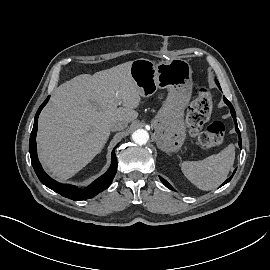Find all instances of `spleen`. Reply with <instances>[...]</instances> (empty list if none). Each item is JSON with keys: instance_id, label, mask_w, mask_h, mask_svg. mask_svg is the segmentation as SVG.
I'll use <instances>...</instances> for the list:
<instances>
[{"instance_id": "obj_1", "label": "spleen", "mask_w": 270, "mask_h": 270, "mask_svg": "<svg viewBox=\"0 0 270 270\" xmlns=\"http://www.w3.org/2000/svg\"><path fill=\"white\" fill-rule=\"evenodd\" d=\"M235 160V147L228 145L217 154L201 161H184L181 170L186 178L201 190H212L221 185Z\"/></svg>"}]
</instances>
